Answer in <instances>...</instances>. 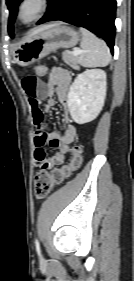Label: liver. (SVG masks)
<instances>
[{
    "instance_id": "obj_1",
    "label": "liver",
    "mask_w": 134,
    "mask_h": 281,
    "mask_svg": "<svg viewBox=\"0 0 134 281\" xmlns=\"http://www.w3.org/2000/svg\"><path fill=\"white\" fill-rule=\"evenodd\" d=\"M51 26H52V25H45V26L39 27V28H37V29H34V30L29 34L28 38H30V37H32V36H34V35H36V34L42 32V31H44L45 29H48V28L51 27ZM28 38H27V39H28Z\"/></svg>"
}]
</instances>
